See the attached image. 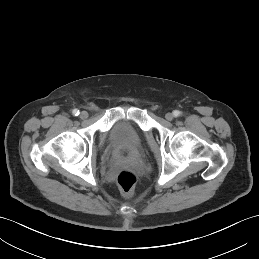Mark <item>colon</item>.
<instances>
[{"label": "colon", "instance_id": "1", "mask_svg": "<svg viewBox=\"0 0 259 259\" xmlns=\"http://www.w3.org/2000/svg\"><path fill=\"white\" fill-rule=\"evenodd\" d=\"M136 176L129 170H122L117 176L120 191L126 196H132L136 186Z\"/></svg>", "mask_w": 259, "mask_h": 259}]
</instances>
